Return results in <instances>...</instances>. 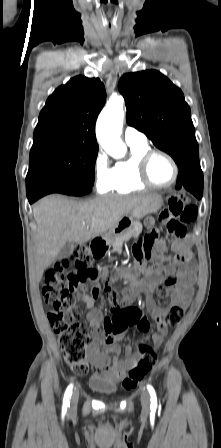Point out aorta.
Wrapping results in <instances>:
<instances>
[{"mask_svg":"<svg viewBox=\"0 0 221 448\" xmlns=\"http://www.w3.org/2000/svg\"><path fill=\"white\" fill-rule=\"evenodd\" d=\"M124 100L122 97H113L98 117L96 134L102 148L114 158L125 156L127 148L122 142L124 119Z\"/></svg>","mask_w":221,"mask_h":448,"instance_id":"aorta-1","label":"aorta"}]
</instances>
